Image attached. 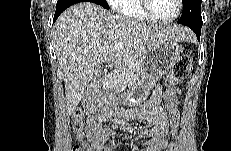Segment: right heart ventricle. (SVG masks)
<instances>
[{
  "mask_svg": "<svg viewBox=\"0 0 231 151\" xmlns=\"http://www.w3.org/2000/svg\"><path fill=\"white\" fill-rule=\"evenodd\" d=\"M116 10L125 15L131 21H149L148 18L142 13L139 0H122Z\"/></svg>",
  "mask_w": 231,
  "mask_h": 151,
  "instance_id": "right-heart-ventricle-1",
  "label": "right heart ventricle"
}]
</instances>
